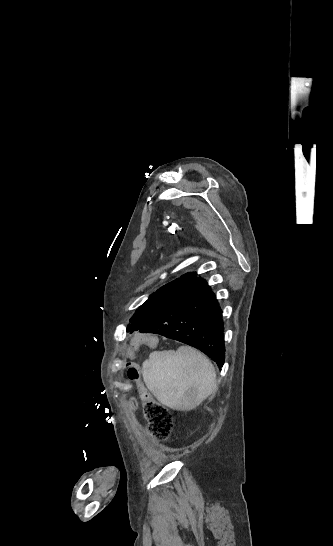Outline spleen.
<instances>
[{"instance_id":"spleen-1","label":"spleen","mask_w":333,"mask_h":546,"mask_svg":"<svg viewBox=\"0 0 333 546\" xmlns=\"http://www.w3.org/2000/svg\"><path fill=\"white\" fill-rule=\"evenodd\" d=\"M142 374L157 400L174 410L195 409L217 388L214 366L189 346L152 352L143 363Z\"/></svg>"}]
</instances>
